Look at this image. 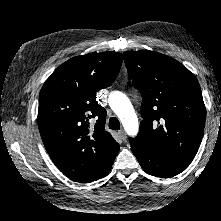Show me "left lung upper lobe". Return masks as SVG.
I'll return each mask as SVG.
<instances>
[{"label": "left lung upper lobe", "mask_w": 221, "mask_h": 221, "mask_svg": "<svg viewBox=\"0 0 221 221\" xmlns=\"http://www.w3.org/2000/svg\"><path fill=\"white\" fill-rule=\"evenodd\" d=\"M124 59L132 84L143 98V121L138 135L129 138L130 144L192 162L206 119L196 77L175 59L157 52L127 51Z\"/></svg>", "instance_id": "obj_1"}]
</instances>
